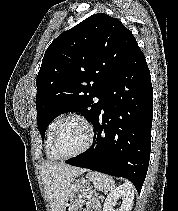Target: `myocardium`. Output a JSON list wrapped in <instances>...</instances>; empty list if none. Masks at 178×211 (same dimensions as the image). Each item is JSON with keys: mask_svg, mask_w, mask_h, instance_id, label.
<instances>
[{"mask_svg": "<svg viewBox=\"0 0 178 211\" xmlns=\"http://www.w3.org/2000/svg\"><path fill=\"white\" fill-rule=\"evenodd\" d=\"M70 121L80 122L86 127V129H87V141H86V144L83 146V148L81 150H79L78 152H76L74 154H70V155H62V154L59 153V151L57 149V144H56L57 136H58L61 128L66 123H68ZM93 141H94V128H93V125L91 124V122L82 115L72 114V115H68V116L64 117V119L56 127V129L53 133V138H52V149L59 159H70V158L77 157V156L85 153L87 150H89V148L93 144Z\"/></svg>", "mask_w": 178, "mask_h": 211, "instance_id": "f54148a6", "label": "myocardium"}]
</instances>
